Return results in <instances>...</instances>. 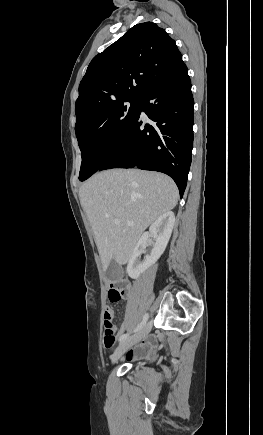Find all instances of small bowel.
I'll return each mask as SVG.
<instances>
[{
    "label": "small bowel",
    "instance_id": "obj_1",
    "mask_svg": "<svg viewBox=\"0 0 263 435\" xmlns=\"http://www.w3.org/2000/svg\"><path fill=\"white\" fill-rule=\"evenodd\" d=\"M105 311H108L113 318V311L111 308L107 307ZM130 325H131L130 320H124L117 333V337L120 338L123 334H125L126 330L130 327ZM154 344L155 342L153 338L145 339L139 346L129 351V353L127 354V359L132 360L145 356L150 350L153 349Z\"/></svg>",
    "mask_w": 263,
    "mask_h": 435
}]
</instances>
